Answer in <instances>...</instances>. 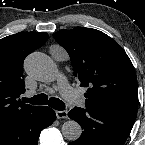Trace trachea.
Returning a JSON list of instances; mask_svg holds the SVG:
<instances>
[{
	"instance_id": "1",
	"label": "trachea",
	"mask_w": 145,
	"mask_h": 145,
	"mask_svg": "<svg viewBox=\"0 0 145 145\" xmlns=\"http://www.w3.org/2000/svg\"><path fill=\"white\" fill-rule=\"evenodd\" d=\"M24 103H30L33 105H46L48 104L55 110L62 111L65 109V104L58 98L51 97L48 100V96L44 93L38 94L32 98H23Z\"/></svg>"
}]
</instances>
